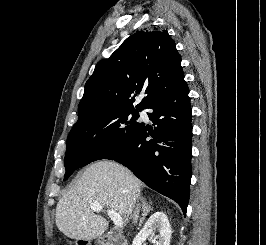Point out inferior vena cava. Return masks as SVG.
I'll return each mask as SVG.
<instances>
[{
	"mask_svg": "<svg viewBox=\"0 0 266 245\" xmlns=\"http://www.w3.org/2000/svg\"><path fill=\"white\" fill-rule=\"evenodd\" d=\"M138 199H139V197H137V199H134V201L132 203L131 217H132L134 223H137L138 215L140 213V205H138V203H137Z\"/></svg>",
	"mask_w": 266,
	"mask_h": 245,
	"instance_id": "inferior-vena-cava-1",
	"label": "inferior vena cava"
}]
</instances>
